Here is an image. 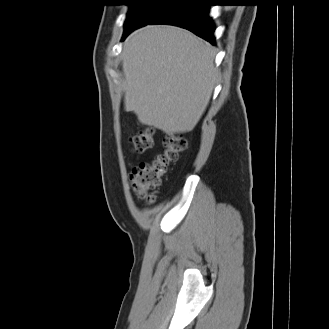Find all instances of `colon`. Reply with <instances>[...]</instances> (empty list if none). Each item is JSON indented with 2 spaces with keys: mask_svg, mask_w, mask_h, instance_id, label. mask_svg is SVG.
I'll use <instances>...</instances> for the list:
<instances>
[{
  "mask_svg": "<svg viewBox=\"0 0 329 329\" xmlns=\"http://www.w3.org/2000/svg\"><path fill=\"white\" fill-rule=\"evenodd\" d=\"M133 150L143 153L154 147L153 129L146 127L130 138ZM186 139L179 134H167L163 142V151L150 162L142 163L130 175V188L135 196L150 205L155 202L153 191L162 184L169 166L178 161L186 150Z\"/></svg>",
  "mask_w": 329,
  "mask_h": 329,
  "instance_id": "5ec220e1",
  "label": "colon"
}]
</instances>
